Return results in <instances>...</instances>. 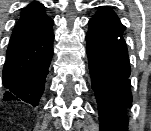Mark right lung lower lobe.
<instances>
[{
  "instance_id": "right-lung-lower-lobe-1",
  "label": "right lung lower lobe",
  "mask_w": 151,
  "mask_h": 131,
  "mask_svg": "<svg viewBox=\"0 0 151 131\" xmlns=\"http://www.w3.org/2000/svg\"><path fill=\"white\" fill-rule=\"evenodd\" d=\"M52 56L53 48L45 62L31 74L24 76L16 82L4 84L5 91L0 94V98L4 101L23 100L36 107L45 89L46 77L49 73Z\"/></svg>"
}]
</instances>
